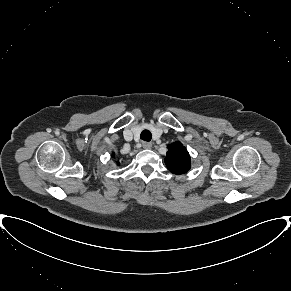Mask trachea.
I'll return each instance as SVG.
<instances>
[{"instance_id": "trachea-1", "label": "trachea", "mask_w": 291, "mask_h": 291, "mask_svg": "<svg viewBox=\"0 0 291 291\" xmlns=\"http://www.w3.org/2000/svg\"><path fill=\"white\" fill-rule=\"evenodd\" d=\"M140 138L143 140V141H151L152 139V134L149 130H143L140 134Z\"/></svg>"}]
</instances>
